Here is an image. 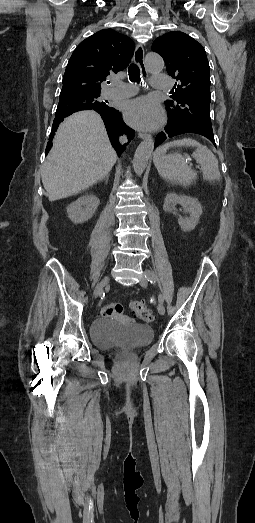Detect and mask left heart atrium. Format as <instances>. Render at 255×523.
Masks as SVG:
<instances>
[{"label": "left heart atrium", "mask_w": 255, "mask_h": 523, "mask_svg": "<svg viewBox=\"0 0 255 523\" xmlns=\"http://www.w3.org/2000/svg\"><path fill=\"white\" fill-rule=\"evenodd\" d=\"M123 113L125 119L138 128H155L164 116L160 104L148 96L124 102Z\"/></svg>", "instance_id": "39dd6f15"}]
</instances>
